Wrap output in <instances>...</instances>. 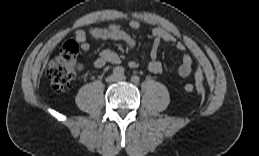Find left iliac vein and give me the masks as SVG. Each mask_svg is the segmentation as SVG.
Here are the masks:
<instances>
[{"instance_id":"obj_1","label":"left iliac vein","mask_w":259,"mask_h":156,"mask_svg":"<svg viewBox=\"0 0 259 156\" xmlns=\"http://www.w3.org/2000/svg\"><path fill=\"white\" fill-rule=\"evenodd\" d=\"M126 77L124 75L118 76L117 81H124Z\"/></svg>"}]
</instances>
